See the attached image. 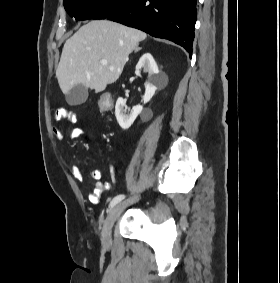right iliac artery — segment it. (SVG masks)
<instances>
[{"label":"right iliac artery","instance_id":"right-iliac-artery-1","mask_svg":"<svg viewBox=\"0 0 280 283\" xmlns=\"http://www.w3.org/2000/svg\"><path fill=\"white\" fill-rule=\"evenodd\" d=\"M125 198L123 194L115 196L112 201L110 202L109 208L111 209L114 207L116 204H118L120 201H122Z\"/></svg>","mask_w":280,"mask_h":283}]
</instances>
